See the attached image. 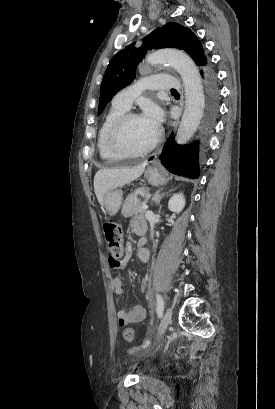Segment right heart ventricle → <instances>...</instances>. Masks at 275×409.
I'll list each match as a JSON object with an SVG mask.
<instances>
[{
  "label": "right heart ventricle",
  "instance_id": "right-heart-ventricle-1",
  "mask_svg": "<svg viewBox=\"0 0 275 409\" xmlns=\"http://www.w3.org/2000/svg\"><path fill=\"white\" fill-rule=\"evenodd\" d=\"M127 113V110L112 105L111 109L107 113L97 137V147L100 157H117L109 148V137L113 124L123 114Z\"/></svg>",
  "mask_w": 275,
  "mask_h": 409
}]
</instances>
